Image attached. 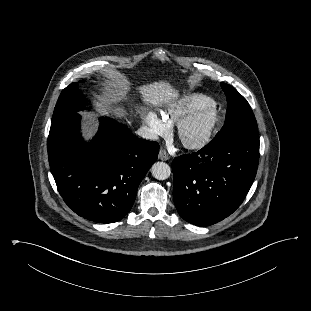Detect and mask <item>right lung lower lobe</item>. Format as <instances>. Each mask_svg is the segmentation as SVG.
I'll use <instances>...</instances> for the list:
<instances>
[{"label": "right lung lower lobe", "instance_id": "98d812e1", "mask_svg": "<svg viewBox=\"0 0 311 311\" xmlns=\"http://www.w3.org/2000/svg\"><path fill=\"white\" fill-rule=\"evenodd\" d=\"M47 147L63 200L79 216L99 223L126 216L159 152L157 142L138 138L111 118H101L98 133L86 143L77 113L52 122Z\"/></svg>", "mask_w": 311, "mask_h": 311}]
</instances>
